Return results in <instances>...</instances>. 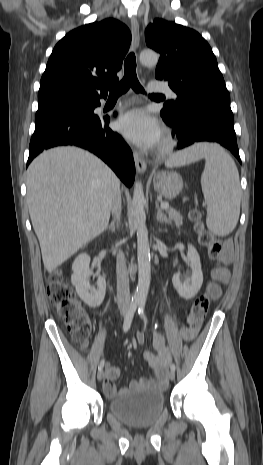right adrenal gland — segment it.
<instances>
[{"label": "right adrenal gland", "instance_id": "1", "mask_svg": "<svg viewBox=\"0 0 263 465\" xmlns=\"http://www.w3.org/2000/svg\"><path fill=\"white\" fill-rule=\"evenodd\" d=\"M111 232L115 231V222L113 221L108 227H107Z\"/></svg>", "mask_w": 263, "mask_h": 465}]
</instances>
